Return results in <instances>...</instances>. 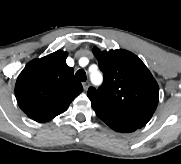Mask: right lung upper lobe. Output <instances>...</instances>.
Instances as JSON below:
<instances>
[{
    "label": "right lung upper lobe",
    "mask_w": 181,
    "mask_h": 164,
    "mask_svg": "<svg viewBox=\"0 0 181 164\" xmlns=\"http://www.w3.org/2000/svg\"><path fill=\"white\" fill-rule=\"evenodd\" d=\"M67 52L58 50L29 62L18 76L15 95L28 117L45 122L65 112L82 91L74 69L66 64Z\"/></svg>",
    "instance_id": "1"
}]
</instances>
